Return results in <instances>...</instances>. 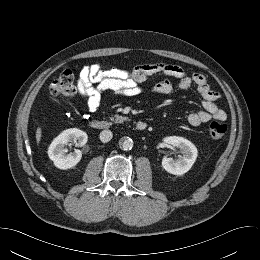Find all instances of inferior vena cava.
Wrapping results in <instances>:
<instances>
[{
	"mask_svg": "<svg viewBox=\"0 0 260 260\" xmlns=\"http://www.w3.org/2000/svg\"><path fill=\"white\" fill-rule=\"evenodd\" d=\"M113 137V134L110 130H103L101 133H100V140L103 142V143H107L109 142Z\"/></svg>",
	"mask_w": 260,
	"mask_h": 260,
	"instance_id": "1",
	"label": "inferior vena cava"
}]
</instances>
